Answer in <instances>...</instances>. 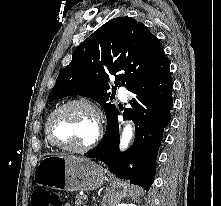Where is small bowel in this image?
I'll list each match as a JSON object with an SVG mask.
<instances>
[{
  "instance_id": "obj_1",
  "label": "small bowel",
  "mask_w": 221,
  "mask_h": 206,
  "mask_svg": "<svg viewBox=\"0 0 221 206\" xmlns=\"http://www.w3.org/2000/svg\"><path fill=\"white\" fill-rule=\"evenodd\" d=\"M64 206H70L69 204H65Z\"/></svg>"
}]
</instances>
